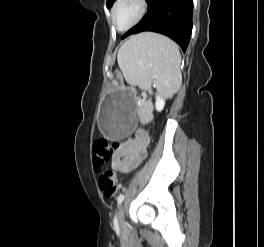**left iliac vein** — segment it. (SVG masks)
<instances>
[{"instance_id":"left-iliac-vein-1","label":"left iliac vein","mask_w":264,"mask_h":247,"mask_svg":"<svg viewBox=\"0 0 264 247\" xmlns=\"http://www.w3.org/2000/svg\"><path fill=\"white\" fill-rule=\"evenodd\" d=\"M118 223L121 229H124L126 227L123 206H121L118 211Z\"/></svg>"}]
</instances>
